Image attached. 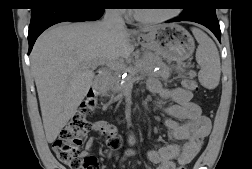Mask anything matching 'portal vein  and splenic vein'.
<instances>
[{
	"label": "portal vein and splenic vein",
	"mask_w": 252,
	"mask_h": 169,
	"mask_svg": "<svg viewBox=\"0 0 252 169\" xmlns=\"http://www.w3.org/2000/svg\"><path fill=\"white\" fill-rule=\"evenodd\" d=\"M100 64H106L108 67L118 71V70H122L125 68L124 64L118 61H107V62H99L98 65Z\"/></svg>",
	"instance_id": "18ae733b"
}]
</instances>
